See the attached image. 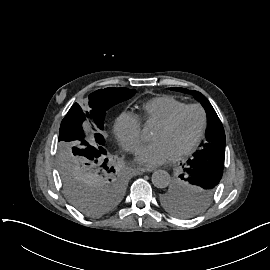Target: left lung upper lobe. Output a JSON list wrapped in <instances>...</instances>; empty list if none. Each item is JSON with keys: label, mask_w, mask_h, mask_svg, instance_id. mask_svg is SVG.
Segmentation results:
<instances>
[{"label": "left lung upper lobe", "mask_w": 270, "mask_h": 270, "mask_svg": "<svg viewBox=\"0 0 270 270\" xmlns=\"http://www.w3.org/2000/svg\"><path fill=\"white\" fill-rule=\"evenodd\" d=\"M170 90L193 94L207 113V129L201 150L193 154L187 165L182 166L183 173L160 196L162 205L170 213L182 218H192L207 208L222 178L225 133L218 115L203 94L178 87Z\"/></svg>", "instance_id": "left-lung-upper-lobe-1"}]
</instances>
